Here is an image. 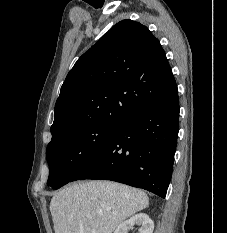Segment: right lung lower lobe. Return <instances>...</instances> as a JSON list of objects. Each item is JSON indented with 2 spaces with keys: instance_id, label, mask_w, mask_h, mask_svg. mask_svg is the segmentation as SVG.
Instances as JSON below:
<instances>
[{
  "instance_id": "1",
  "label": "right lung lower lobe",
  "mask_w": 227,
  "mask_h": 233,
  "mask_svg": "<svg viewBox=\"0 0 227 233\" xmlns=\"http://www.w3.org/2000/svg\"><path fill=\"white\" fill-rule=\"evenodd\" d=\"M179 110L175 85L163 97L121 122L71 181L112 180L165 198L173 170Z\"/></svg>"
}]
</instances>
